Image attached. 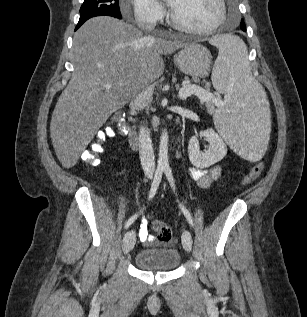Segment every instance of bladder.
Listing matches in <instances>:
<instances>
[{
  "label": "bladder",
  "instance_id": "1",
  "mask_svg": "<svg viewBox=\"0 0 307 317\" xmlns=\"http://www.w3.org/2000/svg\"><path fill=\"white\" fill-rule=\"evenodd\" d=\"M135 266L151 272H169L180 263V255L173 248L142 249L135 255Z\"/></svg>",
  "mask_w": 307,
  "mask_h": 317
}]
</instances>
